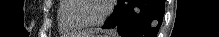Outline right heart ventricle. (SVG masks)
I'll return each instance as SVG.
<instances>
[{"instance_id":"obj_1","label":"right heart ventricle","mask_w":219,"mask_h":37,"mask_svg":"<svg viewBox=\"0 0 219 37\" xmlns=\"http://www.w3.org/2000/svg\"><path fill=\"white\" fill-rule=\"evenodd\" d=\"M71 7H72V2L70 0H60L58 1L56 7L59 30L63 34L76 32L82 29V27L76 25L69 18V11Z\"/></svg>"}]
</instances>
